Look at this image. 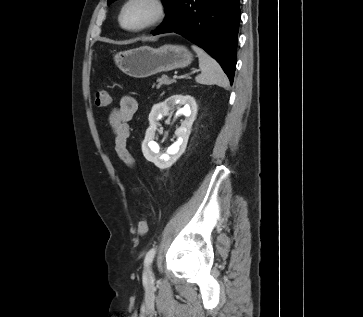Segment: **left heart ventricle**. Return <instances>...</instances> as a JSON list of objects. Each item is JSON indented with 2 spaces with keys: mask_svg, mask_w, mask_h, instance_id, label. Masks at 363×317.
<instances>
[{
  "mask_svg": "<svg viewBox=\"0 0 363 317\" xmlns=\"http://www.w3.org/2000/svg\"><path fill=\"white\" fill-rule=\"evenodd\" d=\"M151 7L142 2L132 4L127 8L123 17V24L127 27H135L145 22L151 15Z\"/></svg>",
  "mask_w": 363,
  "mask_h": 317,
  "instance_id": "left-heart-ventricle-1",
  "label": "left heart ventricle"
}]
</instances>
